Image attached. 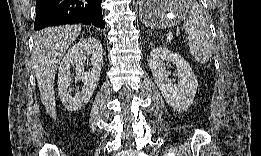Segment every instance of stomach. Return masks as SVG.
Returning <instances> with one entry per match:
<instances>
[{
	"label": "stomach",
	"mask_w": 261,
	"mask_h": 156,
	"mask_svg": "<svg viewBox=\"0 0 261 156\" xmlns=\"http://www.w3.org/2000/svg\"><path fill=\"white\" fill-rule=\"evenodd\" d=\"M166 3L161 2H143L140 5V18L145 25L151 28L155 27H171L178 22L180 18L184 15V9L179 8H171L168 9ZM171 11L174 14L173 19L168 18V12Z\"/></svg>",
	"instance_id": "0dacf381"
}]
</instances>
